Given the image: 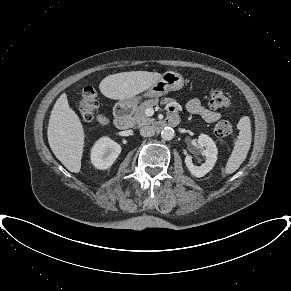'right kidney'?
Wrapping results in <instances>:
<instances>
[{
    "mask_svg": "<svg viewBox=\"0 0 291 291\" xmlns=\"http://www.w3.org/2000/svg\"><path fill=\"white\" fill-rule=\"evenodd\" d=\"M121 153V146L108 137L100 138L91 149V162L97 169L109 168Z\"/></svg>",
    "mask_w": 291,
    "mask_h": 291,
    "instance_id": "1",
    "label": "right kidney"
}]
</instances>
